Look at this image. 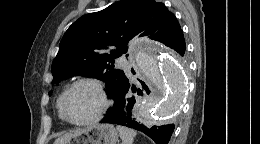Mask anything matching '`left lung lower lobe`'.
Returning a JSON list of instances; mask_svg holds the SVG:
<instances>
[{"mask_svg":"<svg viewBox=\"0 0 260 144\" xmlns=\"http://www.w3.org/2000/svg\"><path fill=\"white\" fill-rule=\"evenodd\" d=\"M166 46L177 51L181 56L185 54L186 44L183 31L180 30L177 35L171 39ZM135 74V72L132 70ZM142 89L136 88L131 80L127 77L116 90L113 100V107L109 108L106 116L100 123H110L127 126L139 130L154 140L156 144H168L170 137L174 131L173 124H165L162 126L147 127L138 122V107L135 106L136 97L131 92L143 96V92L149 94L150 90L143 81H140Z\"/></svg>","mask_w":260,"mask_h":144,"instance_id":"1","label":"left lung lower lobe"}]
</instances>
